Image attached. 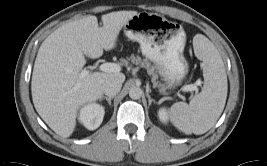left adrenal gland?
<instances>
[{
    "instance_id": "1",
    "label": "left adrenal gland",
    "mask_w": 267,
    "mask_h": 166,
    "mask_svg": "<svg viewBox=\"0 0 267 166\" xmlns=\"http://www.w3.org/2000/svg\"><path fill=\"white\" fill-rule=\"evenodd\" d=\"M147 98H148V102H149V106L151 105V103L152 102H154L155 103V100L154 99H152L151 97H150V95H149V93L147 92Z\"/></svg>"
}]
</instances>
